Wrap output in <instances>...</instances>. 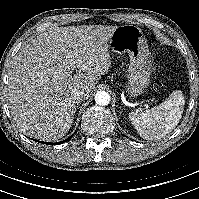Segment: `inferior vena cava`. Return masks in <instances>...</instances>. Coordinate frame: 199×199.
<instances>
[{
    "instance_id": "obj_1",
    "label": "inferior vena cava",
    "mask_w": 199,
    "mask_h": 199,
    "mask_svg": "<svg viewBox=\"0 0 199 199\" xmlns=\"http://www.w3.org/2000/svg\"><path fill=\"white\" fill-rule=\"evenodd\" d=\"M70 97L75 103L79 104L85 99V92L80 88H74L71 90Z\"/></svg>"
}]
</instances>
